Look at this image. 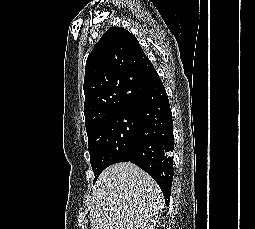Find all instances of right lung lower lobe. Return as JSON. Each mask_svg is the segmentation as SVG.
Instances as JSON below:
<instances>
[{
    "mask_svg": "<svg viewBox=\"0 0 255 229\" xmlns=\"http://www.w3.org/2000/svg\"><path fill=\"white\" fill-rule=\"evenodd\" d=\"M125 109L139 120L128 161L152 176L164 194L166 206H169L174 171L173 121L158 73L147 81L141 93Z\"/></svg>",
    "mask_w": 255,
    "mask_h": 229,
    "instance_id": "1",
    "label": "right lung lower lobe"
}]
</instances>
